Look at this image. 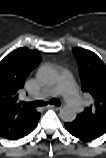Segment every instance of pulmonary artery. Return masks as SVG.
Here are the masks:
<instances>
[{"label": "pulmonary artery", "mask_w": 106, "mask_h": 158, "mask_svg": "<svg viewBox=\"0 0 106 158\" xmlns=\"http://www.w3.org/2000/svg\"><path fill=\"white\" fill-rule=\"evenodd\" d=\"M60 93H64L68 99H70L72 102H75L76 94H77V88L74 82L70 78H66L62 85L55 87L52 90V95H57Z\"/></svg>", "instance_id": "1"}]
</instances>
